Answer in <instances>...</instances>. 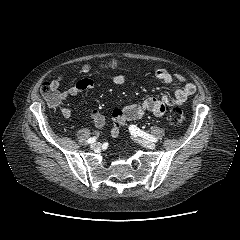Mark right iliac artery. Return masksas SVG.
Segmentation results:
<instances>
[{"label": "right iliac artery", "instance_id": "82829eb1", "mask_svg": "<svg viewBox=\"0 0 240 240\" xmlns=\"http://www.w3.org/2000/svg\"><path fill=\"white\" fill-rule=\"evenodd\" d=\"M95 141H96V137H92L87 140V142L91 144L94 143Z\"/></svg>", "mask_w": 240, "mask_h": 240}]
</instances>
